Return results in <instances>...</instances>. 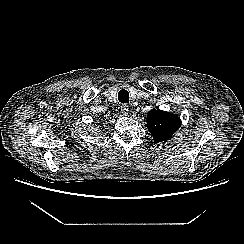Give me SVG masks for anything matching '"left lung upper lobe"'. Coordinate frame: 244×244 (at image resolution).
<instances>
[{"instance_id": "obj_1", "label": "left lung upper lobe", "mask_w": 244, "mask_h": 244, "mask_svg": "<svg viewBox=\"0 0 244 244\" xmlns=\"http://www.w3.org/2000/svg\"><path fill=\"white\" fill-rule=\"evenodd\" d=\"M181 126L180 118L173 113L158 109L148 113L147 128L155 143L166 142Z\"/></svg>"}]
</instances>
